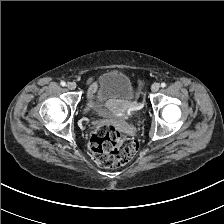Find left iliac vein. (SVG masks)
<instances>
[{"label":"left iliac vein","instance_id":"1","mask_svg":"<svg viewBox=\"0 0 224 224\" xmlns=\"http://www.w3.org/2000/svg\"><path fill=\"white\" fill-rule=\"evenodd\" d=\"M159 88H160V85L157 82L153 83L151 86L152 92H157L159 90Z\"/></svg>","mask_w":224,"mask_h":224}]
</instances>
